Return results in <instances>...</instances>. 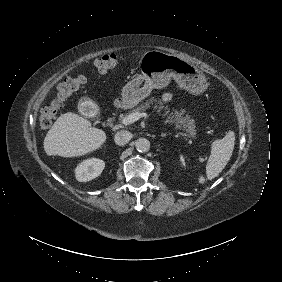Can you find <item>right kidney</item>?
Returning <instances> with one entry per match:
<instances>
[{"instance_id": "ca27d5eb", "label": "right kidney", "mask_w": 282, "mask_h": 282, "mask_svg": "<svg viewBox=\"0 0 282 282\" xmlns=\"http://www.w3.org/2000/svg\"><path fill=\"white\" fill-rule=\"evenodd\" d=\"M105 165V161L97 157L84 158L73 169L75 179L79 182L91 181L103 172Z\"/></svg>"}]
</instances>
